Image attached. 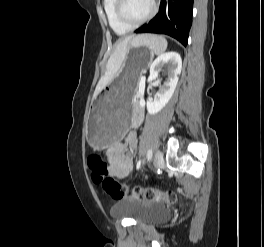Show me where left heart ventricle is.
Wrapping results in <instances>:
<instances>
[{
	"label": "left heart ventricle",
	"mask_w": 264,
	"mask_h": 247,
	"mask_svg": "<svg viewBox=\"0 0 264 247\" xmlns=\"http://www.w3.org/2000/svg\"><path fill=\"white\" fill-rule=\"evenodd\" d=\"M151 0H127L126 12L132 20L143 18L150 10Z\"/></svg>",
	"instance_id": "left-heart-ventricle-1"
}]
</instances>
